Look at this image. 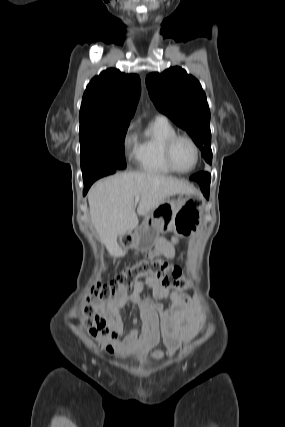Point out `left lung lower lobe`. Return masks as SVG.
I'll use <instances>...</instances> for the list:
<instances>
[{"instance_id": "0a47b994", "label": "left lung lower lobe", "mask_w": 285, "mask_h": 427, "mask_svg": "<svg viewBox=\"0 0 285 427\" xmlns=\"http://www.w3.org/2000/svg\"><path fill=\"white\" fill-rule=\"evenodd\" d=\"M190 180L197 181L201 187L203 194L209 197V185L211 176L207 172H200L190 177Z\"/></svg>"}]
</instances>
